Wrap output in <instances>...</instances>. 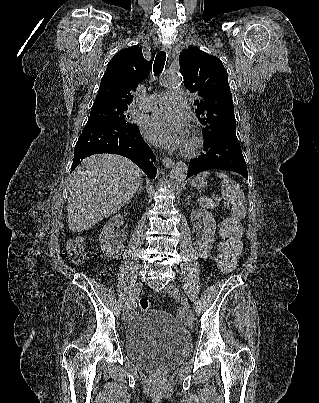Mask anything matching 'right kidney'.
<instances>
[{
  "label": "right kidney",
  "mask_w": 319,
  "mask_h": 403,
  "mask_svg": "<svg viewBox=\"0 0 319 403\" xmlns=\"http://www.w3.org/2000/svg\"><path fill=\"white\" fill-rule=\"evenodd\" d=\"M123 223V215L116 214L103 227L99 237L102 252L110 259H117L124 251L123 235H114L116 226Z\"/></svg>",
  "instance_id": "ca27d5eb"
}]
</instances>
